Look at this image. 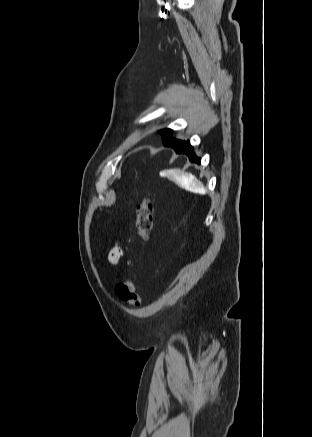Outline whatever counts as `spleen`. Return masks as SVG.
Masks as SVG:
<instances>
[{"label": "spleen", "instance_id": "spleen-1", "mask_svg": "<svg viewBox=\"0 0 312 437\" xmlns=\"http://www.w3.org/2000/svg\"><path fill=\"white\" fill-rule=\"evenodd\" d=\"M168 177L179 184L181 187L196 193L204 194L206 189L204 185L191 174L177 175L174 173L167 174Z\"/></svg>", "mask_w": 312, "mask_h": 437}]
</instances>
